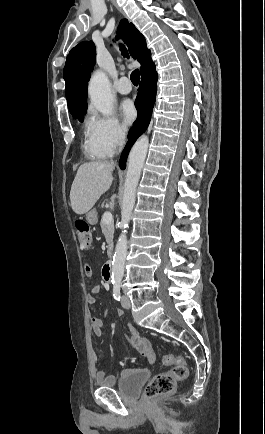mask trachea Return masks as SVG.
<instances>
[{
  "instance_id": "1",
  "label": "trachea",
  "mask_w": 265,
  "mask_h": 434,
  "mask_svg": "<svg viewBox=\"0 0 265 434\" xmlns=\"http://www.w3.org/2000/svg\"><path fill=\"white\" fill-rule=\"evenodd\" d=\"M121 50H122V54H123L124 56H127V51H126V49L122 47ZM130 78H131V81H132V83H133L134 85H138V84H139V80H140V73H139V70H138V69L134 70V71L131 73Z\"/></svg>"
}]
</instances>
